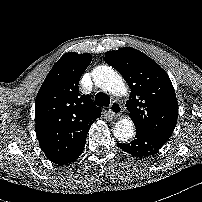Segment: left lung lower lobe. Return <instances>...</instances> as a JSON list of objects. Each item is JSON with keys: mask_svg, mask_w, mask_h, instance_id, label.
<instances>
[{"mask_svg": "<svg viewBox=\"0 0 202 202\" xmlns=\"http://www.w3.org/2000/svg\"><path fill=\"white\" fill-rule=\"evenodd\" d=\"M169 140V137L158 134L136 132L135 139L130 143H117V145L135 157L151 156Z\"/></svg>", "mask_w": 202, "mask_h": 202, "instance_id": "left-lung-lower-lobe-1", "label": "left lung lower lobe"}]
</instances>
